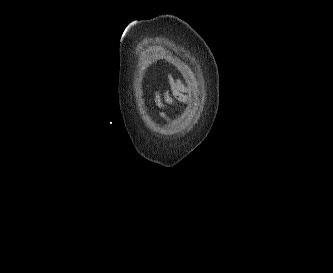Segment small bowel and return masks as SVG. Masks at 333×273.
Wrapping results in <instances>:
<instances>
[{
	"mask_svg": "<svg viewBox=\"0 0 333 273\" xmlns=\"http://www.w3.org/2000/svg\"><path fill=\"white\" fill-rule=\"evenodd\" d=\"M171 101L169 92H157L155 95V102L159 107H165Z\"/></svg>",
	"mask_w": 333,
	"mask_h": 273,
	"instance_id": "1",
	"label": "small bowel"
}]
</instances>
